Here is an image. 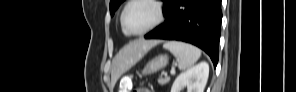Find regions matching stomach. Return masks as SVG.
<instances>
[{
  "label": "stomach",
  "mask_w": 296,
  "mask_h": 92,
  "mask_svg": "<svg viewBox=\"0 0 296 92\" xmlns=\"http://www.w3.org/2000/svg\"><path fill=\"white\" fill-rule=\"evenodd\" d=\"M168 63V56L167 55H159L148 62L143 71L142 75H149L152 73H156L157 71L163 69Z\"/></svg>",
  "instance_id": "0dacf381"
}]
</instances>
